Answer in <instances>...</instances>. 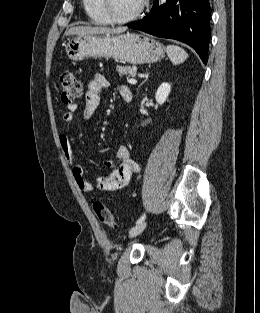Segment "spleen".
<instances>
[{"label": "spleen", "instance_id": "1", "mask_svg": "<svg viewBox=\"0 0 260 313\" xmlns=\"http://www.w3.org/2000/svg\"><path fill=\"white\" fill-rule=\"evenodd\" d=\"M166 50L169 59L175 65L183 63L188 58L186 51L176 45H168Z\"/></svg>", "mask_w": 260, "mask_h": 313}]
</instances>
